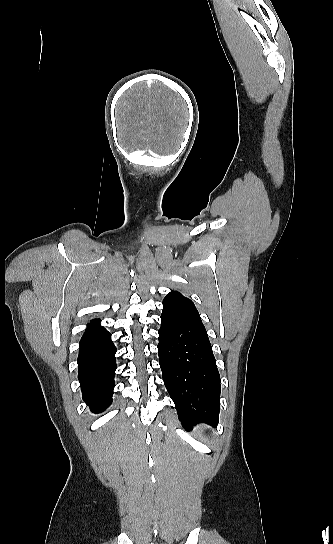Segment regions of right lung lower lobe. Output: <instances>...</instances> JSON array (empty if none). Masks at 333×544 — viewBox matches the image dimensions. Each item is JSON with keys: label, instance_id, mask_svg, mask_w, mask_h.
I'll list each match as a JSON object with an SVG mask.
<instances>
[{"label": "right lung lower lobe", "instance_id": "98d812e1", "mask_svg": "<svg viewBox=\"0 0 333 544\" xmlns=\"http://www.w3.org/2000/svg\"><path fill=\"white\" fill-rule=\"evenodd\" d=\"M100 319L88 323L80 341L78 379L83 399L93 412H101L112 402L116 370V347Z\"/></svg>", "mask_w": 333, "mask_h": 544}]
</instances>
